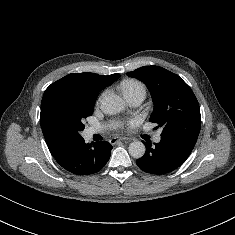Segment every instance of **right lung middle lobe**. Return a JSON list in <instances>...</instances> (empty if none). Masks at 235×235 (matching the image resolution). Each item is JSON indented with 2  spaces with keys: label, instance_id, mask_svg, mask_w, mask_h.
<instances>
[{
  "label": "right lung middle lobe",
  "instance_id": "dd1d6c3e",
  "mask_svg": "<svg viewBox=\"0 0 235 235\" xmlns=\"http://www.w3.org/2000/svg\"><path fill=\"white\" fill-rule=\"evenodd\" d=\"M97 96L81 92H67L55 96L44 114L49 134L59 143H71L81 137L83 120L93 113Z\"/></svg>",
  "mask_w": 235,
  "mask_h": 235
}]
</instances>
